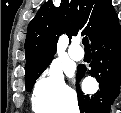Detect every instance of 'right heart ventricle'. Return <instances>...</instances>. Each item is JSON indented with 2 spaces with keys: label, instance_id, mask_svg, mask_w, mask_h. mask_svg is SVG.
I'll list each match as a JSON object with an SVG mask.
<instances>
[{
  "label": "right heart ventricle",
  "instance_id": "right-heart-ventricle-1",
  "mask_svg": "<svg viewBox=\"0 0 121 113\" xmlns=\"http://www.w3.org/2000/svg\"><path fill=\"white\" fill-rule=\"evenodd\" d=\"M35 105V109L36 110H43L42 108H40L38 105L34 104Z\"/></svg>",
  "mask_w": 121,
  "mask_h": 113
}]
</instances>
